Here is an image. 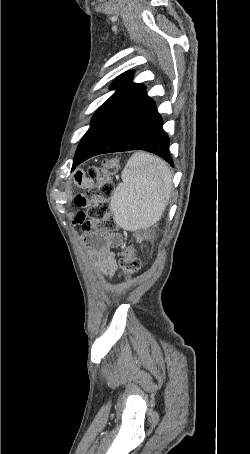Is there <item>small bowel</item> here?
Listing matches in <instances>:
<instances>
[{"instance_id": "c3829d8e", "label": "small bowel", "mask_w": 250, "mask_h": 454, "mask_svg": "<svg viewBox=\"0 0 250 454\" xmlns=\"http://www.w3.org/2000/svg\"><path fill=\"white\" fill-rule=\"evenodd\" d=\"M75 182L82 188H89L92 184L91 180L86 178L80 171L75 173ZM75 202L79 207H83L86 205V198L79 195L76 197ZM74 222L82 224L84 230L83 241L95 256L98 268L105 275L111 276L117 268L115 255L111 252V249L121 243L122 237L114 233L105 234L91 231V221L85 220L83 212H78L74 216Z\"/></svg>"}]
</instances>
